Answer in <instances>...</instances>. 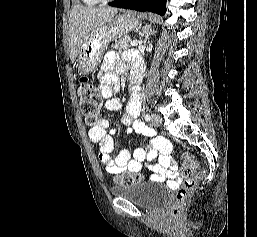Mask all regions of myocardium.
<instances>
[{"mask_svg":"<svg viewBox=\"0 0 257 237\" xmlns=\"http://www.w3.org/2000/svg\"><path fill=\"white\" fill-rule=\"evenodd\" d=\"M99 1H111V0H99Z\"/></svg>","mask_w":257,"mask_h":237,"instance_id":"1","label":"myocardium"}]
</instances>
